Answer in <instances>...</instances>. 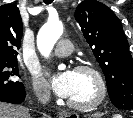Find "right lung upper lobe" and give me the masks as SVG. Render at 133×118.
<instances>
[{"mask_svg":"<svg viewBox=\"0 0 133 118\" xmlns=\"http://www.w3.org/2000/svg\"><path fill=\"white\" fill-rule=\"evenodd\" d=\"M22 31V20L17 6H0V61L17 62Z\"/></svg>","mask_w":133,"mask_h":118,"instance_id":"obj_1","label":"right lung upper lobe"}]
</instances>
